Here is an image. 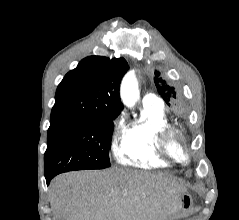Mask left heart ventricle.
Returning a JSON list of instances; mask_svg holds the SVG:
<instances>
[{
	"instance_id": "left-heart-ventricle-1",
	"label": "left heart ventricle",
	"mask_w": 239,
	"mask_h": 220,
	"mask_svg": "<svg viewBox=\"0 0 239 220\" xmlns=\"http://www.w3.org/2000/svg\"><path fill=\"white\" fill-rule=\"evenodd\" d=\"M172 151L177 154V155H180L181 154V150H180V147L178 145L177 142H173L172 144Z\"/></svg>"
}]
</instances>
